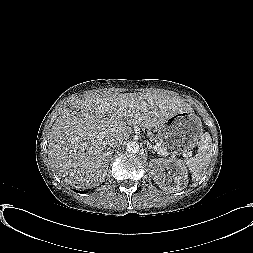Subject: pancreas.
Returning <instances> with one entry per match:
<instances>
[{"label": "pancreas", "instance_id": "pancreas-1", "mask_svg": "<svg viewBox=\"0 0 253 253\" xmlns=\"http://www.w3.org/2000/svg\"><path fill=\"white\" fill-rule=\"evenodd\" d=\"M157 141V139H155ZM159 147L162 149V150H165L167 152V149L164 148V146L162 145V143H160Z\"/></svg>", "mask_w": 253, "mask_h": 253}]
</instances>
